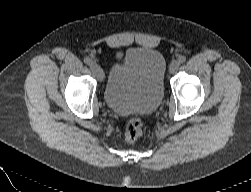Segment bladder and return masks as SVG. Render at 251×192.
Wrapping results in <instances>:
<instances>
[{"instance_id":"bladder-1","label":"bladder","mask_w":251,"mask_h":192,"mask_svg":"<svg viewBox=\"0 0 251 192\" xmlns=\"http://www.w3.org/2000/svg\"><path fill=\"white\" fill-rule=\"evenodd\" d=\"M166 61L161 52L149 47L129 48L123 61L108 74L104 100L119 115L150 114L164 96Z\"/></svg>"}]
</instances>
